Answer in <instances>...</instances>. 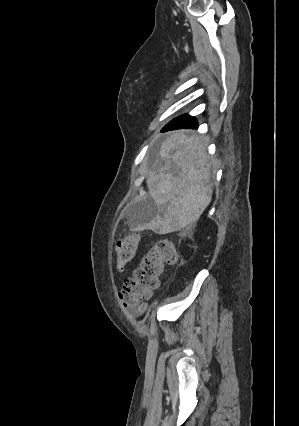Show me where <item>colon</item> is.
<instances>
[{"label": "colon", "instance_id": "1", "mask_svg": "<svg viewBox=\"0 0 299 426\" xmlns=\"http://www.w3.org/2000/svg\"><path fill=\"white\" fill-rule=\"evenodd\" d=\"M139 236L130 234L116 244V262L120 270L135 258ZM176 249L170 238H161L143 255L132 275L125 279L119 298L124 307L136 314H140L144 305L159 286V277L164 267L174 263Z\"/></svg>", "mask_w": 299, "mask_h": 426}]
</instances>
